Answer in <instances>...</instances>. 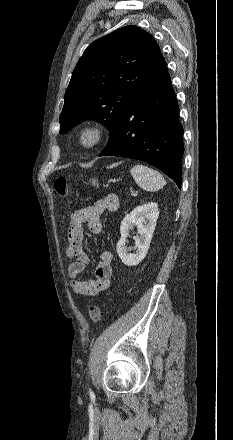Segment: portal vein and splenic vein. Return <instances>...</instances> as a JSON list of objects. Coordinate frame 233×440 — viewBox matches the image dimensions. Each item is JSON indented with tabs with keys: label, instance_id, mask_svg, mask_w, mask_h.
I'll list each match as a JSON object with an SVG mask.
<instances>
[{
	"label": "portal vein and splenic vein",
	"instance_id": "18ae733b",
	"mask_svg": "<svg viewBox=\"0 0 233 440\" xmlns=\"http://www.w3.org/2000/svg\"><path fill=\"white\" fill-rule=\"evenodd\" d=\"M137 194H138V191H133V192L131 193L132 196H136Z\"/></svg>",
	"mask_w": 233,
	"mask_h": 440
}]
</instances>
